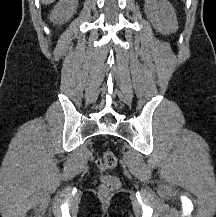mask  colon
Wrapping results in <instances>:
<instances>
[{
    "label": "colon",
    "mask_w": 216,
    "mask_h": 217,
    "mask_svg": "<svg viewBox=\"0 0 216 217\" xmlns=\"http://www.w3.org/2000/svg\"><path fill=\"white\" fill-rule=\"evenodd\" d=\"M96 165L101 174L99 192L102 196H109L120 186V179L117 176L106 174V171L117 166L115 153L112 150L102 151L96 160Z\"/></svg>",
    "instance_id": "5ec220e1"
}]
</instances>
